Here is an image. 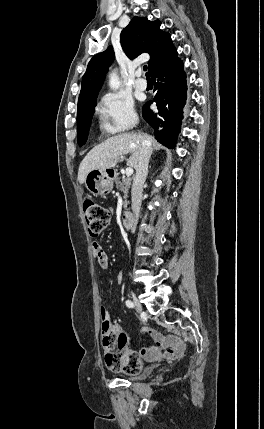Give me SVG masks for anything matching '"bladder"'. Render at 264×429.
Returning a JSON list of instances; mask_svg holds the SVG:
<instances>
[{
    "label": "bladder",
    "mask_w": 264,
    "mask_h": 429,
    "mask_svg": "<svg viewBox=\"0 0 264 429\" xmlns=\"http://www.w3.org/2000/svg\"><path fill=\"white\" fill-rule=\"evenodd\" d=\"M154 369L155 368L153 366L146 367L139 373L129 374L128 378L131 380L145 379L153 373Z\"/></svg>",
    "instance_id": "bladder-1"
}]
</instances>
